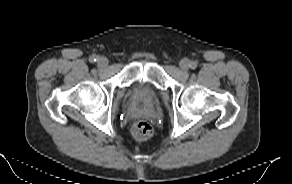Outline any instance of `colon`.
I'll return each instance as SVG.
<instances>
[{
  "label": "colon",
  "instance_id": "obj_1",
  "mask_svg": "<svg viewBox=\"0 0 292 184\" xmlns=\"http://www.w3.org/2000/svg\"><path fill=\"white\" fill-rule=\"evenodd\" d=\"M133 137L138 141H146L153 135V127L146 121H137L131 127Z\"/></svg>",
  "mask_w": 292,
  "mask_h": 184
}]
</instances>
